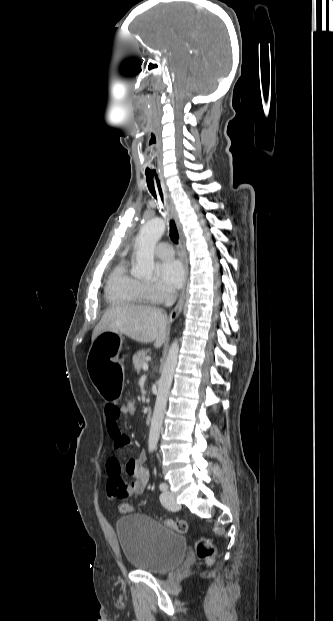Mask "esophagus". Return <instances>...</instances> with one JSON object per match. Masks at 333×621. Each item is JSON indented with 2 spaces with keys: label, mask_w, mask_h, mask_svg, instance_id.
Instances as JSON below:
<instances>
[{
  "label": "esophagus",
  "mask_w": 333,
  "mask_h": 621,
  "mask_svg": "<svg viewBox=\"0 0 333 621\" xmlns=\"http://www.w3.org/2000/svg\"><path fill=\"white\" fill-rule=\"evenodd\" d=\"M160 182H161V186L163 189V193H164V199H165V204L167 209L170 211L171 215L173 216L177 228H178V232H179V237H180V249H181V253H182V258L184 260L185 263V269H186V278L188 277V259H187V254H186V248H185V236H184V232H183V228H182V224L180 222L179 216H178V211L175 207V204L173 202V199L168 191L167 185L164 181L163 177H160ZM184 301H185V293L183 291V293L180 296V299L177 303V305L175 306V308L171 311L170 313V321H174L177 316L181 313L183 305H184Z\"/></svg>",
  "instance_id": "34e87169"
}]
</instances>
